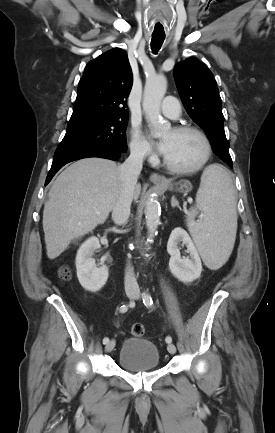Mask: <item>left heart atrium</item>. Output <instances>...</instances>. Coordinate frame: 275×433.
<instances>
[{"label":"left heart atrium","instance_id":"left-heart-atrium-1","mask_svg":"<svg viewBox=\"0 0 275 433\" xmlns=\"http://www.w3.org/2000/svg\"><path fill=\"white\" fill-rule=\"evenodd\" d=\"M159 149H160V151L163 153V154H165L166 153V151H167V148H168V144H167V142L166 141H161V142H159Z\"/></svg>","mask_w":275,"mask_h":433}]
</instances>
